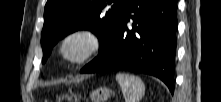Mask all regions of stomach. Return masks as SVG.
I'll return each instance as SVG.
<instances>
[{
    "label": "stomach",
    "mask_w": 221,
    "mask_h": 102,
    "mask_svg": "<svg viewBox=\"0 0 221 102\" xmlns=\"http://www.w3.org/2000/svg\"><path fill=\"white\" fill-rule=\"evenodd\" d=\"M111 91L106 87H100L90 93L91 102H105L110 97ZM68 100H72V96H65Z\"/></svg>",
    "instance_id": "obj_1"
}]
</instances>
